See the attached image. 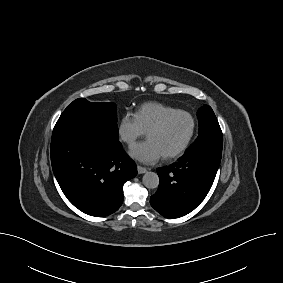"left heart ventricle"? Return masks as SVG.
<instances>
[{"label":"left heart ventricle","instance_id":"1","mask_svg":"<svg viewBox=\"0 0 283 283\" xmlns=\"http://www.w3.org/2000/svg\"><path fill=\"white\" fill-rule=\"evenodd\" d=\"M191 130V121L186 116L172 118L159 132L148 136L161 151L162 155L176 151L187 139Z\"/></svg>","mask_w":283,"mask_h":283}]
</instances>
